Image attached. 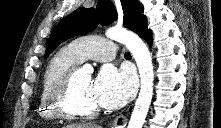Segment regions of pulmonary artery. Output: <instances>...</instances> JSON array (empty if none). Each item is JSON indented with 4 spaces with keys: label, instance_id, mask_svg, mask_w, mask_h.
Listing matches in <instances>:
<instances>
[{
    "label": "pulmonary artery",
    "instance_id": "e3ab8cb5",
    "mask_svg": "<svg viewBox=\"0 0 221 128\" xmlns=\"http://www.w3.org/2000/svg\"><path fill=\"white\" fill-rule=\"evenodd\" d=\"M70 45L80 54L83 61L94 59L105 62L122 56V53L117 50V42L103 40L94 35L76 38Z\"/></svg>",
    "mask_w": 221,
    "mask_h": 128
}]
</instances>
